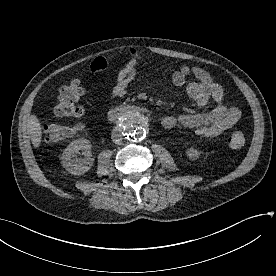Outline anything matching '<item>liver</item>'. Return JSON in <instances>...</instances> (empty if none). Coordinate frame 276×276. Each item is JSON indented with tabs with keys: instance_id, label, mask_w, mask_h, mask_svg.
<instances>
[{
	"instance_id": "1",
	"label": "liver",
	"mask_w": 276,
	"mask_h": 276,
	"mask_svg": "<svg viewBox=\"0 0 276 276\" xmlns=\"http://www.w3.org/2000/svg\"><path fill=\"white\" fill-rule=\"evenodd\" d=\"M28 131L31 136L32 144L35 148H38L42 141V127L35 115H31L28 119Z\"/></svg>"
}]
</instances>
